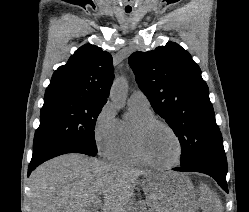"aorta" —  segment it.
<instances>
[{"mask_svg":"<svg viewBox=\"0 0 249 212\" xmlns=\"http://www.w3.org/2000/svg\"><path fill=\"white\" fill-rule=\"evenodd\" d=\"M128 91V83L125 77L120 76L113 82L110 91L111 101L121 107L124 105Z\"/></svg>","mask_w":249,"mask_h":212,"instance_id":"obj_1","label":"aorta"}]
</instances>
